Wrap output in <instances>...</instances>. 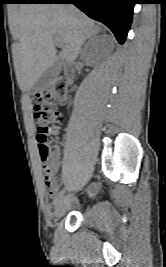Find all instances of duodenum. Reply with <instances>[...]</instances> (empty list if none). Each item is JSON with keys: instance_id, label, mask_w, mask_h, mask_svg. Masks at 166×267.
<instances>
[{"instance_id": "1", "label": "duodenum", "mask_w": 166, "mask_h": 267, "mask_svg": "<svg viewBox=\"0 0 166 267\" xmlns=\"http://www.w3.org/2000/svg\"><path fill=\"white\" fill-rule=\"evenodd\" d=\"M64 76L67 81L71 82L74 76L73 70L71 68H66L64 71Z\"/></svg>"}]
</instances>
